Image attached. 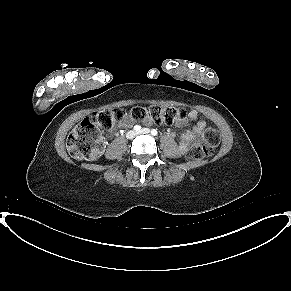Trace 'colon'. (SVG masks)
I'll return each instance as SVG.
<instances>
[{
	"mask_svg": "<svg viewBox=\"0 0 291 291\" xmlns=\"http://www.w3.org/2000/svg\"><path fill=\"white\" fill-rule=\"evenodd\" d=\"M126 115L135 121H147L157 124H172L185 118V113L174 107L153 105L134 107L127 114L123 109H104L84 118L69 134L66 146L71 156L77 160L92 161L102 150L101 131L112 129ZM220 142L217 129L207 127L204 142L194 145L188 152L189 160H201L209 156Z\"/></svg>",
	"mask_w": 291,
	"mask_h": 291,
	"instance_id": "5ec220e1",
	"label": "colon"
}]
</instances>
